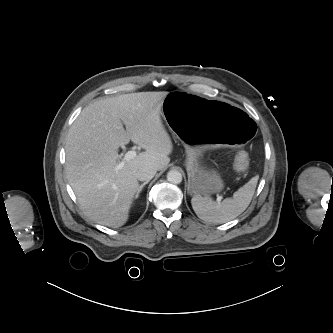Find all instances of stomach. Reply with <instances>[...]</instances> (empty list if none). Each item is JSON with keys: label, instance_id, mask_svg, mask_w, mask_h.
Masks as SVG:
<instances>
[{"label": "stomach", "instance_id": "stomach-1", "mask_svg": "<svg viewBox=\"0 0 333 333\" xmlns=\"http://www.w3.org/2000/svg\"><path fill=\"white\" fill-rule=\"evenodd\" d=\"M162 112L169 129L186 148L189 193L222 191L224 182L217 171L203 165V153L221 146L217 143L233 146L250 140L256 132L252 115L224 100L178 91L164 98Z\"/></svg>", "mask_w": 333, "mask_h": 333}]
</instances>
